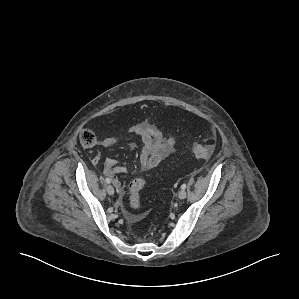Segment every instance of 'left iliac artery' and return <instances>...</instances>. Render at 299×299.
Returning a JSON list of instances; mask_svg holds the SVG:
<instances>
[{"label":"left iliac artery","mask_w":299,"mask_h":299,"mask_svg":"<svg viewBox=\"0 0 299 299\" xmlns=\"http://www.w3.org/2000/svg\"><path fill=\"white\" fill-rule=\"evenodd\" d=\"M185 188H186V184H182L181 189H185Z\"/></svg>","instance_id":"left-iliac-artery-1"}]
</instances>
